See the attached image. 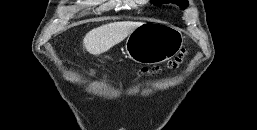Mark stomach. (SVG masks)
Wrapping results in <instances>:
<instances>
[{"instance_id": "obj_1", "label": "stomach", "mask_w": 257, "mask_h": 130, "mask_svg": "<svg viewBox=\"0 0 257 130\" xmlns=\"http://www.w3.org/2000/svg\"><path fill=\"white\" fill-rule=\"evenodd\" d=\"M180 30L158 20L143 22L126 40V53L141 64H158L174 57L183 45Z\"/></svg>"}]
</instances>
